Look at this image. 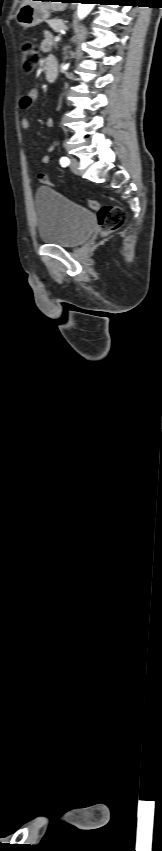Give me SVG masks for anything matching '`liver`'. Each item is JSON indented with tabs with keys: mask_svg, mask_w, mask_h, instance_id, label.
<instances>
[{
	"mask_svg": "<svg viewBox=\"0 0 162 851\" xmlns=\"http://www.w3.org/2000/svg\"><path fill=\"white\" fill-rule=\"evenodd\" d=\"M31 4L35 7H39L42 9L53 10V11H64L67 7V3L65 2H51V1H32V0H24L22 5Z\"/></svg>",
	"mask_w": 162,
	"mask_h": 851,
	"instance_id": "liver-1",
	"label": "liver"
}]
</instances>
